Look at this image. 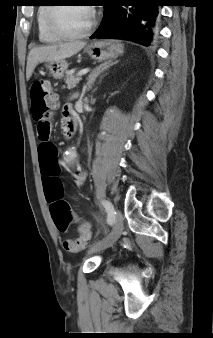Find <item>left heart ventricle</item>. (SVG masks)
Instances as JSON below:
<instances>
[{
  "mask_svg": "<svg viewBox=\"0 0 213 338\" xmlns=\"http://www.w3.org/2000/svg\"><path fill=\"white\" fill-rule=\"evenodd\" d=\"M91 11L85 6H69L59 8L56 22L60 30L66 33L83 31L90 23Z\"/></svg>",
  "mask_w": 213,
  "mask_h": 338,
  "instance_id": "obj_1",
  "label": "left heart ventricle"
}]
</instances>
